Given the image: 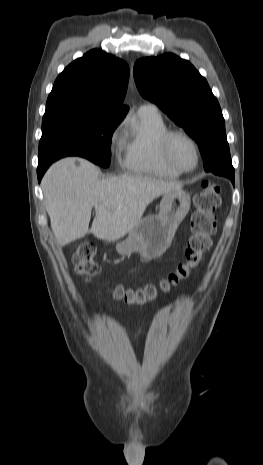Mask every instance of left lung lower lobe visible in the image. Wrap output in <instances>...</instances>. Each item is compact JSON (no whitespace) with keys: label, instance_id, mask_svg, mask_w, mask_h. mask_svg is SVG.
<instances>
[{"label":"left lung lower lobe","instance_id":"obj_1","mask_svg":"<svg viewBox=\"0 0 263 465\" xmlns=\"http://www.w3.org/2000/svg\"><path fill=\"white\" fill-rule=\"evenodd\" d=\"M215 160L204 158V168L206 171H211L214 168ZM212 172V171H211Z\"/></svg>","mask_w":263,"mask_h":465}]
</instances>
